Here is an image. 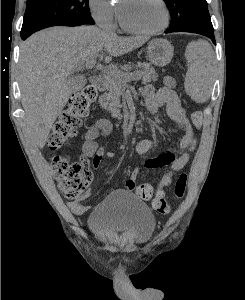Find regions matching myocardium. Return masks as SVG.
Wrapping results in <instances>:
<instances>
[{
	"label": "myocardium",
	"mask_w": 245,
	"mask_h": 300,
	"mask_svg": "<svg viewBox=\"0 0 245 300\" xmlns=\"http://www.w3.org/2000/svg\"><path fill=\"white\" fill-rule=\"evenodd\" d=\"M158 2L161 4V6L164 10V15H165L164 22L161 26L154 28V29H149V30H144V29H140V28L131 26L125 21L123 13L120 9L119 22H120L121 27L130 33L139 34V35H155V34L162 32L163 30H165L169 26V23H170V10H169V7L165 0H158Z\"/></svg>",
	"instance_id": "obj_1"
}]
</instances>
